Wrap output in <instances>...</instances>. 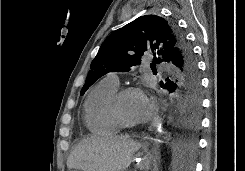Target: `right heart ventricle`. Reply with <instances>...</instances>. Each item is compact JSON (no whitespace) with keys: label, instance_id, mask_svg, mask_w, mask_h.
I'll return each mask as SVG.
<instances>
[{"label":"right heart ventricle","instance_id":"obj_1","mask_svg":"<svg viewBox=\"0 0 245 171\" xmlns=\"http://www.w3.org/2000/svg\"><path fill=\"white\" fill-rule=\"evenodd\" d=\"M117 85L107 79L96 84L84 104V121L93 134L112 135L120 130V126L111 112V100L118 91Z\"/></svg>","mask_w":245,"mask_h":171}]
</instances>
